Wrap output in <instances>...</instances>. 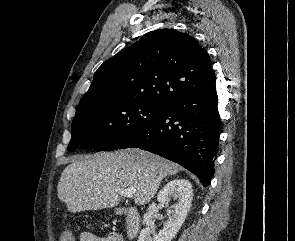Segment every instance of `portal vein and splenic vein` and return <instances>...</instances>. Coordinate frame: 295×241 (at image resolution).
I'll list each match as a JSON object with an SVG mask.
<instances>
[{"label":"portal vein and splenic vein","mask_w":295,"mask_h":241,"mask_svg":"<svg viewBox=\"0 0 295 241\" xmlns=\"http://www.w3.org/2000/svg\"><path fill=\"white\" fill-rule=\"evenodd\" d=\"M118 193L127 198H132L136 193V189L133 187L126 188V189H119Z\"/></svg>","instance_id":"portal-vein-and-splenic-vein-1"}]
</instances>
